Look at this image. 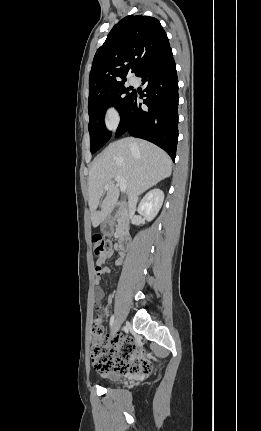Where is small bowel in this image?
<instances>
[{
    "label": "small bowel",
    "instance_id": "obj_1",
    "mask_svg": "<svg viewBox=\"0 0 261 431\" xmlns=\"http://www.w3.org/2000/svg\"><path fill=\"white\" fill-rule=\"evenodd\" d=\"M112 256V251H110L106 256L105 259L110 258ZM105 259L100 260L98 262L97 267H99L100 269L98 271H96V278H95V285H96V289H95V303L96 304H101L102 303V299L105 296V292L104 290L99 286L100 282H101V276L104 274H109L111 272L110 268L108 266L105 265ZM124 261V256L119 255L116 260L115 263L116 265H121ZM113 300V295L109 294L108 295V302L111 303ZM100 312V317L107 319L110 316V313L107 311L106 307H102Z\"/></svg>",
    "mask_w": 261,
    "mask_h": 431
}]
</instances>
